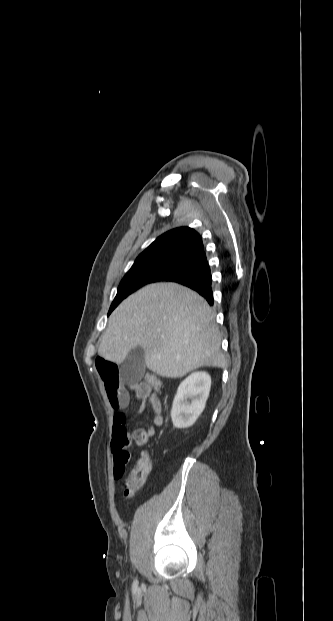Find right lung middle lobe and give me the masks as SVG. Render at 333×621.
Returning <instances> with one entry per match:
<instances>
[{"label":"right lung middle lobe","instance_id":"obj_1","mask_svg":"<svg viewBox=\"0 0 333 621\" xmlns=\"http://www.w3.org/2000/svg\"><path fill=\"white\" fill-rule=\"evenodd\" d=\"M184 261L185 259L180 258H162L135 262L121 281L108 315L128 295L146 284L160 281L164 276L179 268Z\"/></svg>","mask_w":333,"mask_h":621}]
</instances>
